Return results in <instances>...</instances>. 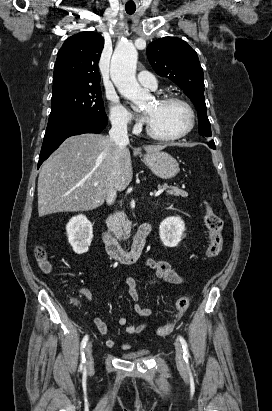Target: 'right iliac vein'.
I'll use <instances>...</instances> for the list:
<instances>
[{
  "mask_svg": "<svg viewBox=\"0 0 272 411\" xmlns=\"http://www.w3.org/2000/svg\"><path fill=\"white\" fill-rule=\"evenodd\" d=\"M85 355H86V366L88 370H92L94 359L92 355V343L89 342L85 348Z\"/></svg>",
  "mask_w": 272,
  "mask_h": 411,
  "instance_id": "obj_1",
  "label": "right iliac vein"
}]
</instances>
